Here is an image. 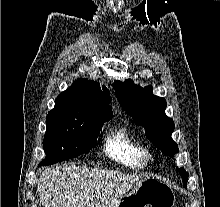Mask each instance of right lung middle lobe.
<instances>
[{"label":"right lung middle lobe","mask_w":220,"mask_h":207,"mask_svg":"<svg viewBox=\"0 0 220 207\" xmlns=\"http://www.w3.org/2000/svg\"><path fill=\"white\" fill-rule=\"evenodd\" d=\"M70 101L56 100L46 119L43 148L46 158L39 166L51 165L88 152L97 141L104 122Z\"/></svg>","instance_id":"1"}]
</instances>
